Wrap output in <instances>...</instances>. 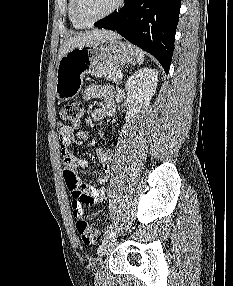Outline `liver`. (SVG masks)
Returning <instances> with one entry per match:
<instances>
[{"label":"liver","instance_id":"1","mask_svg":"<svg viewBox=\"0 0 233 286\" xmlns=\"http://www.w3.org/2000/svg\"><path fill=\"white\" fill-rule=\"evenodd\" d=\"M120 36L113 31L98 30L87 31L85 33H78L74 36L68 37L59 53V60L69 51L75 48L83 47L86 45H93L106 39H119Z\"/></svg>","mask_w":233,"mask_h":286}]
</instances>
